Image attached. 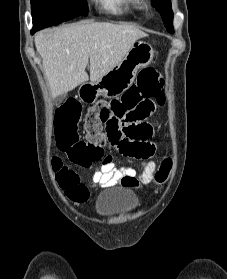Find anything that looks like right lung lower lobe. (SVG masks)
I'll list each match as a JSON object with an SVG mask.
<instances>
[{
	"instance_id": "obj_1",
	"label": "right lung lower lobe",
	"mask_w": 227,
	"mask_h": 279,
	"mask_svg": "<svg viewBox=\"0 0 227 279\" xmlns=\"http://www.w3.org/2000/svg\"><path fill=\"white\" fill-rule=\"evenodd\" d=\"M38 30H40V29H38V28H33L32 30H31V34H34L36 31H38Z\"/></svg>"
}]
</instances>
